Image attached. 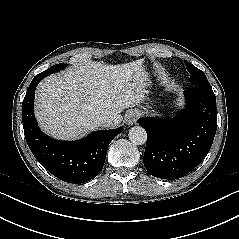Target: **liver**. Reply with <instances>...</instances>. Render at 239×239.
<instances>
[{"mask_svg":"<svg viewBox=\"0 0 239 239\" xmlns=\"http://www.w3.org/2000/svg\"><path fill=\"white\" fill-rule=\"evenodd\" d=\"M148 72L143 60L119 65L90 61L50 75L36 90L35 115L52 137L79 139L99 127L97 117L112 118L106 127L118 126L120 113L144 101Z\"/></svg>","mask_w":239,"mask_h":239,"instance_id":"liver-1","label":"liver"}]
</instances>
